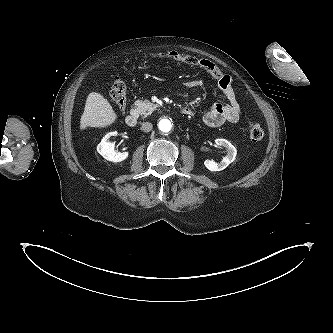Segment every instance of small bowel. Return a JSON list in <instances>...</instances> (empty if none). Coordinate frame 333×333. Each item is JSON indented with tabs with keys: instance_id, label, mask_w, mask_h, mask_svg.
<instances>
[{
	"instance_id": "1",
	"label": "small bowel",
	"mask_w": 333,
	"mask_h": 333,
	"mask_svg": "<svg viewBox=\"0 0 333 333\" xmlns=\"http://www.w3.org/2000/svg\"><path fill=\"white\" fill-rule=\"evenodd\" d=\"M187 87H197L203 84L202 80H188L184 83ZM219 88L224 94L225 101L221 104H213L203 116V121L210 127H217L225 122L236 123L241 117V109L236 99L232 82L229 76L224 75L218 81ZM185 113L192 114L188 109Z\"/></svg>"
}]
</instances>
